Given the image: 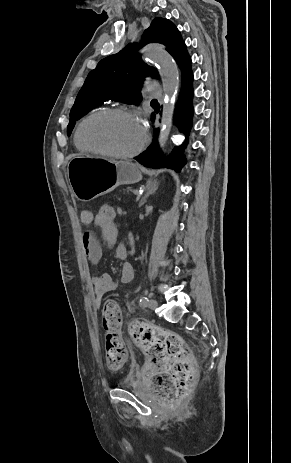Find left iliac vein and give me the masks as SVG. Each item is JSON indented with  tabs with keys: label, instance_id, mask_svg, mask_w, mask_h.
<instances>
[{
	"label": "left iliac vein",
	"instance_id": "left-iliac-vein-1",
	"mask_svg": "<svg viewBox=\"0 0 291 463\" xmlns=\"http://www.w3.org/2000/svg\"><path fill=\"white\" fill-rule=\"evenodd\" d=\"M158 306V302L155 299L149 301V308L155 309Z\"/></svg>",
	"mask_w": 291,
	"mask_h": 463
}]
</instances>
